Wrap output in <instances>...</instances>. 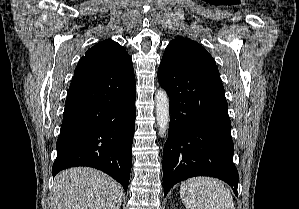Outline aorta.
<instances>
[{
    "mask_svg": "<svg viewBox=\"0 0 299 209\" xmlns=\"http://www.w3.org/2000/svg\"><path fill=\"white\" fill-rule=\"evenodd\" d=\"M156 120L159 128V135L166 133L170 122L169 98L164 89H159L155 94Z\"/></svg>",
    "mask_w": 299,
    "mask_h": 209,
    "instance_id": "aorta-1",
    "label": "aorta"
}]
</instances>
